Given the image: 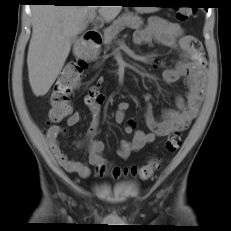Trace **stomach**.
Returning a JSON list of instances; mask_svg holds the SVG:
<instances>
[{"label": "stomach", "instance_id": "stomach-1", "mask_svg": "<svg viewBox=\"0 0 231 231\" xmlns=\"http://www.w3.org/2000/svg\"><path fill=\"white\" fill-rule=\"evenodd\" d=\"M139 4H158L159 1L156 0H139L137 1ZM138 13H151L155 12L159 9V7H135Z\"/></svg>", "mask_w": 231, "mask_h": 231}]
</instances>
